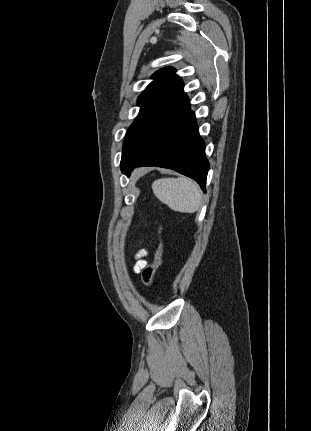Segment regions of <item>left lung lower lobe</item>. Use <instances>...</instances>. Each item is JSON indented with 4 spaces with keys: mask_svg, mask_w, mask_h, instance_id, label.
<instances>
[{
    "mask_svg": "<svg viewBox=\"0 0 311 431\" xmlns=\"http://www.w3.org/2000/svg\"><path fill=\"white\" fill-rule=\"evenodd\" d=\"M158 166L194 179L205 191L209 162L205 142L199 136L195 114L183 89L172 97L144 126L122 153L121 170Z\"/></svg>",
    "mask_w": 311,
    "mask_h": 431,
    "instance_id": "1",
    "label": "left lung lower lobe"
}]
</instances>
